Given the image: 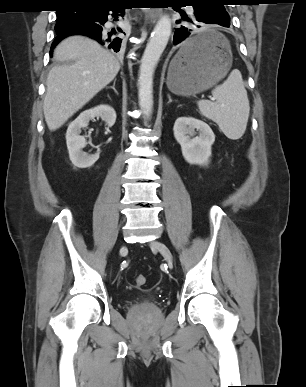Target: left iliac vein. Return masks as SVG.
I'll return each mask as SVG.
<instances>
[{
	"label": "left iliac vein",
	"mask_w": 306,
	"mask_h": 387,
	"mask_svg": "<svg viewBox=\"0 0 306 387\" xmlns=\"http://www.w3.org/2000/svg\"><path fill=\"white\" fill-rule=\"evenodd\" d=\"M150 246L151 248L158 250L164 257V259L168 262V264H172V254L165 244L159 241H152L150 243Z\"/></svg>",
	"instance_id": "4c4485c4"
}]
</instances>
